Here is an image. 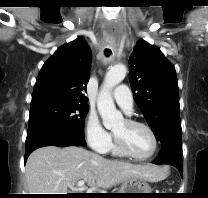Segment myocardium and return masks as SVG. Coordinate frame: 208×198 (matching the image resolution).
Wrapping results in <instances>:
<instances>
[{
  "label": "myocardium",
  "mask_w": 208,
  "mask_h": 198,
  "mask_svg": "<svg viewBox=\"0 0 208 198\" xmlns=\"http://www.w3.org/2000/svg\"><path fill=\"white\" fill-rule=\"evenodd\" d=\"M124 121L128 125L140 126V127L145 128L152 137L153 148H152V151L148 155L143 156V157L137 156L129 150V148L126 146V144L124 143L123 140H121L119 137H117L114 134V142H115V145L118 148V150L122 154H124L125 156H127L131 159H134L136 161H146V160L151 159L156 154V152L158 150V137H157L155 131L153 130V128L145 122H142V121H139V120H136V119H132V118H126Z\"/></svg>",
  "instance_id": "myocardium-1"
}]
</instances>
